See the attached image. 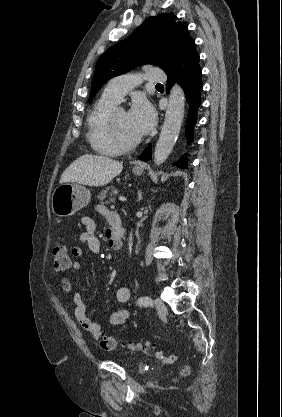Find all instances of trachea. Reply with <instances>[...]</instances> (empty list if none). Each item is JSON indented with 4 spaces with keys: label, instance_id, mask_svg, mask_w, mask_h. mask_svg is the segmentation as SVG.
<instances>
[{
    "label": "trachea",
    "instance_id": "3493384b",
    "mask_svg": "<svg viewBox=\"0 0 282 417\" xmlns=\"http://www.w3.org/2000/svg\"><path fill=\"white\" fill-rule=\"evenodd\" d=\"M156 85H162V83H157Z\"/></svg>",
    "mask_w": 282,
    "mask_h": 417
}]
</instances>
